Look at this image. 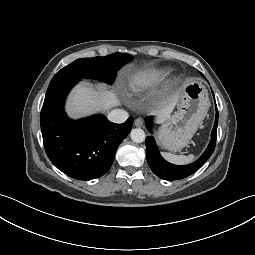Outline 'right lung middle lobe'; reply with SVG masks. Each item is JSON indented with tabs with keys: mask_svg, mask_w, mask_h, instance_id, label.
I'll list each match as a JSON object with an SVG mask.
<instances>
[{
	"mask_svg": "<svg viewBox=\"0 0 255 255\" xmlns=\"http://www.w3.org/2000/svg\"><path fill=\"white\" fill-rule=\"evenodd\" d=\"M132 59L133 57L126 53L80 58L58 71L50 83L66 79L91 78L112 84L117 71Z\"/></svg>",
	"mask_w": 255,
	"mask_h": 255,
	"instance_id": "dd1d6c3e",
	"label": "right lung middle lobe"
}]
</instances>
